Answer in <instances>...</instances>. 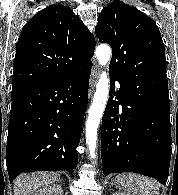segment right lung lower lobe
Returning a JSON list of instances; mask_svg holds the SVG:
<instances>
[{"mask_svg": "<svg viewBox=\"0 0 178 195\" xmlns=\"http://www.w3.org/2000/svg\"><path fill=\"white\" fill-rule=\"evenodd\" d=\"M91 67L12 88L6 149L10 182L22 172L76 169Z\"/></svg>", "mask_w": 178, "mask_h": 195, "instance_id": "obj_1", "label": "right lung lower lobe"}]
</instances>
